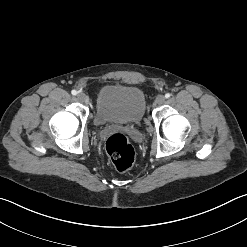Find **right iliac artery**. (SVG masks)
<instances>
[{
    "label": "right iliac artery",
    "mask_w": 247,
    "mask_h": 247,
    "mask_svg": "<svg viewBox=\"0 0 247 247\" xmlns=\"http://www.w3.org/2000/svg\"><path fill=\"white\" fill-rule=\"evenodd\" d=\"M71 93L72 95H77L78 92L76 90H72Z\"/></svg>",
    "instance_id": "right-iliac-artery-1"
}]
</instances>
